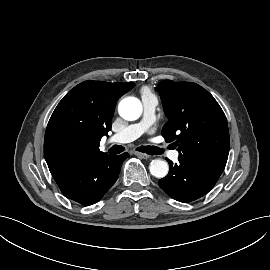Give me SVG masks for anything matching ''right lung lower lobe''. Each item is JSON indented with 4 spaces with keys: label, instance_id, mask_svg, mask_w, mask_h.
I'll use <instances>...</instances> for the list:
<instances>
[{
    "label": "right lung lower lobe",
    "instance_id": "1",
    "mask_svg": "<svg viewBox=\"0 0 270 270\" xmlns=\"http://www.w3.org/2000/svg\"><path fill=\"white\" fill-rule=\"evenodd\" d=\"M128 153L104 154L80 165L53 173L61 192L82 205L98 202L117 180Z\"/></svg>",
    "mask_w": 270,
    "mask_h": 270
}]
</instances>
